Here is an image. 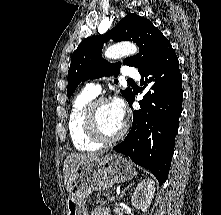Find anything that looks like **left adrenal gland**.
<instances>
[{"label": "left adrenal gland", "instance_id": "1", "mask_svg": "<svg viewBox=\"0 0 221 215\" xmlns=\"http://www.w3.org/2000/svg\"><path fill=\"white\" fill-rule=\"evenodd\" d=\"M130 186H132V183L131 184H129L123 191H122V194H124L125 193V191L127 190V188H129Z\"/></svg>", "mask_w": 221, "mask_h": 215}]
</instances>
